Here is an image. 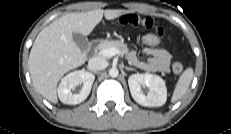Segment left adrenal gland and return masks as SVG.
I'll return each instance as SVG.
<instances>
[{
    "instance_id": "obj_1",
    "label": "left adrenal gland",
    "mask_w": 231,
    "mask_h": 134,
    "mask_svg": "<svg viewBox=\"0 0 231 134\" xmlns=\"http://www.w3.org/2000/svg\"><path fill=\"white\" fill-rule=\"evenodd\" d=\"M125 69L128 70V71H135L134 68H130V67H125Z\"/></svg>"
}]
</instances>
